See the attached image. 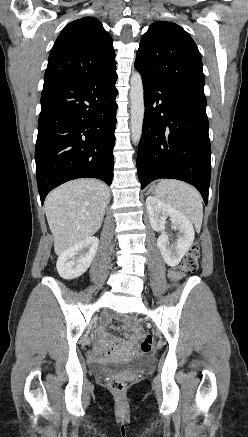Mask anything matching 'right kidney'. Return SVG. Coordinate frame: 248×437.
<instances>
[{
  "instance_id": "obj_1",
  "label": "right kidney",
  "mask_w": 248,
  "mask_h": 437,
  "mask_svg": "<svg viewBox=\"0 0 248 437\" xmlns=\"http://www.w3.org/2000/svg\"><path fill=\"white\" fill-rule=\"evenodd\" d=\"M99 239L89 237L65 250L58 258L56 268L64 279H74L84 274L90 267Z\"/></svg>"
}]
</instances>
